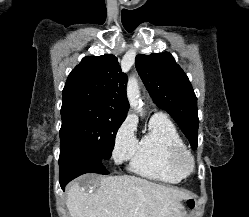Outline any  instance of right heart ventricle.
I'll return each instance as SVG.
<instances>
[{"label":"right heart ventricle","instance_id":"e07e8e85","mask_svg":"<svg viewBox=\"0 0 249 217\" xmlns=\"http://www.w3.org/2000/svg\"><path fill=\"white\" fill-rule=\"evenodd\" d=\"M185 147L173 122L163 115H153L147 132L138 140L129 169L150 180L179 183L183 177L171 165V155Z\"/></svg>","mask_w":249,"mask_h":217}]
</instances>
